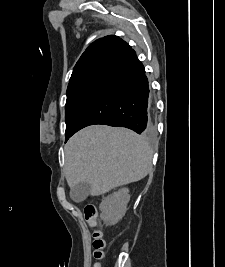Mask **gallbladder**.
Segmentation results:
<instances>
[{
    "instance_id": "gallbladder-1",
    "label": "gallbladder",
    "mask_w": 225,
    "mask_h": 267,
    "mask_svg": "<svg viewBox=\"0 0 225 267\" xmlns=\"http://www.w3.org/2000/svg\"><path fill=\"white\" fill-rule=\"evenodd\" d=\"M91 186L87 182H81L74 185L70 190V197L75 202L84 201L90 194Z\"/></svg>"
}]
</instances>
